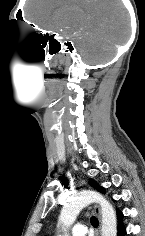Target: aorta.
<instances>
[{
  "instance_id": "1",
  "label": "aorta",
  "mask_w": 145,
  "mask_h": 236,
  "mask_svg": "<svg viewBox=\"0 0 145 236\" xmlns=\"http://www.w3.org/2000/svg\"><path fill=\"white\" fill-rule=\"evenodd\" d=\"M93 202L99 203L101 207V236H116L117 220L113 206L101 194L94 191H82L70 197L64 204L59 216V223L62 225L64 236H69L68 228L74 223L80 211Z\"/></svg>"
}]
</instances>
